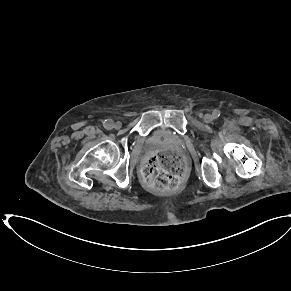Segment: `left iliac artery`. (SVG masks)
<instances>
[{"mask_svg":"<svg viewBox=\"0 0 291 291\" xmlns=\"http://www.w3.org/2000/svg\"><path fill=\"white\" fill-rule=\"evenodd\" d=\"M220 116V111L219 110H214L213 111V118L216 119Z\"/></svg>","mask_w":291,"mask_h":291,"instance_id":"44dca946","label":"left iliac artery"}]
</instances>
